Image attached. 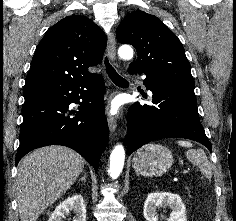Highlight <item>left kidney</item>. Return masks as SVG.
Masks as SVG:
<instances>
[{
  "mask_svg": "<svg viewBox=\"0 0 236 221\" xmlns=\"http://www.w3.org/2000/svg\"><path fill=\"white\" fill-rule=\"evenodd\" d=\"M169 206L172 209L168 221H187L185 206L178 194L152 192L144 203L143 214L147 221H157V209Z\"/></svg>",
  "mask_w": 236,
  "mask_h": 221,
  "instance_id": "5707ae66",
  "label": "left kidney"
}]
</instances>
